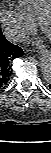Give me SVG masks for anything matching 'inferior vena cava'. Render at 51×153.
Returning <instances> with one entry per match:
<instances>
[{"mask_svg":"<svg viewBox=\"0 0 51 153\" xmlns=\"http://www.w3.org/2000/svg\"><path fill=\"white\" fill-rule=\"evenodd\" d=\"M3 34L5 38L11 42H19L25 39L23 33L13 28L5 29Z\"/></svg>","mask_w":51,"mask_h":153,"instance_id":"inferior-vena-cava-1","label":"inferior vena cava"}]
</instances>
